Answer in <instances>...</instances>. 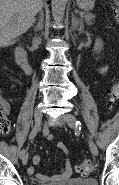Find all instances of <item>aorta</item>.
Masks as SVG:
<instances>
[{"label":"aorta","mask_w":119,"mask_h":185,"mask_svg":"<svg viewBox=\"0 0 119 185\" xmlns=\"http://www.w3.org/2000/svg\"><path fill=\"white\" fill-rule=\"evenodd\" d=\"M68 0H52V16L57 21H62L65 13V8Z\"/></svg>","instance_id":"762f6f07"}]
</instances>
